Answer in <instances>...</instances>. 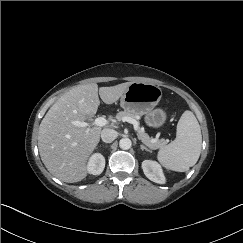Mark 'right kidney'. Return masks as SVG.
<instances>
[{
	"instance_id": "right-kidney-1",
	"label": "right kidney",
	"mask_w": 243,
	"mask_h": 243,
	"mask_svg": "<svg viewBox=\"0 0 243 243\" xmlns=\"http://www.w3.org/2000/svg\"><path fill=\"white\" fill-rule=\"evenodd\" d=\"M105 168V158L100 153L93 154L87 164V171L92 175H100Z\"/></svg>"
}]
</instances>
